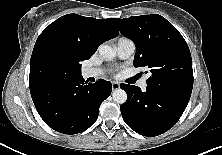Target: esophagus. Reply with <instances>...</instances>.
Segmentation results:
<instances>
[{"mask_svg": "<svg viewBox=\"0 0 222 155\" xmlns=\"http://www.w3.org/2000/svg\"><path fill=\"white\" fill-rule=\"evenodd\" d=\"M120 88V84L118 82H112V89L118 90Z\"/></svg>", "mask_w": 222, "mask_h": 155, "instance_id": "1", "label": "esophagus"}]
</instances>
